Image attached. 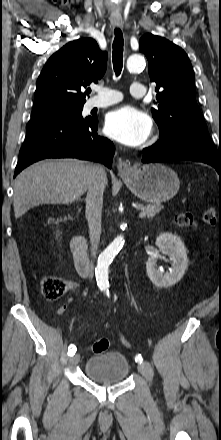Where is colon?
Wrapping results in <instances>:
<instances>
[{"mask_svg": "<svg viewBox=\"0 0 221 440\" xmlns=\"http://www.w3.org/2000/svg\"><path fill=\"white\" fill-rule=\"evenodd\" d=\"M215 218V212L212 209H208L203 215V222L205 224H212ZM175 221L178 226L185 228L194 227L198 224V220L192 212L179 213L176 216ZM67 289V282L58 276L50 275L44 277L42 280V293L48 299H56L61 297L67 291ZM114 335L118 338L121 334L117 331ZM120 341L124 346L130 347V344L124 337L121 336ZM109 347L110 340L107 338H101L93 343L92 350L94 353L100 354L106 352Z\"/></svg>", "mask_w": 221, "mask_h": 440, "instance_id": "1", "label": "colon"}]
</instances>
